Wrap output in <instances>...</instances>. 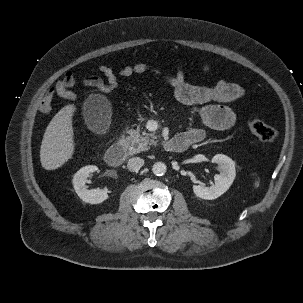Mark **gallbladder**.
<instances>
[{
    "mask_svg": "<svg viewBox=\"0 0 303 303\" xmlns=\"http://www.w3.org/2000/svg\"><path fill=\"white\" fill-rule=\"evenodd\" d=\"M83 115L87 126L94 132L100 133L109 124L110 102L101 94H92L84 102Z\"/></svg>",
    "mask_w": 303,
    "mask_h": 303,
    "instance_id": "obj_1",
    "label": "gallbladder"
}]
</instances>
